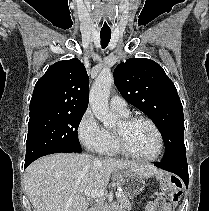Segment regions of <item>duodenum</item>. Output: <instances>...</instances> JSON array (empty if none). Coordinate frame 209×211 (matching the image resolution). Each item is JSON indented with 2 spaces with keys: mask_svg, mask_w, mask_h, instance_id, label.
<instances>
[{
  "mask_svg": "<svg viewBox=\"0 0 209 211\" xmlns=\"http://www.w3.org/2000/svg\"><path fill=\"white\" fill-rule=\"evenodd\" d=\"M87 211H92V209H89V210H87Z\"/></svg>",
  "mask_w": 209,
  "mask_h": 211,
  "instance_id": "obj_1",
  "label": "duodenum"
}]
</instances>
